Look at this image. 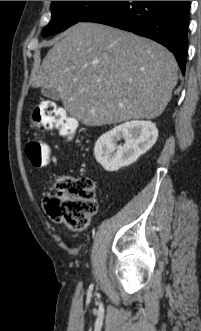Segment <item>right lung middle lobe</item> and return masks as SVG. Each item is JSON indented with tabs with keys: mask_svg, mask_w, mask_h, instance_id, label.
I'll return each instance as SVG.
<instances>
[{
	"mask_svg": "<svg viewBox=\"0 0 201 331\" xmlns=\"http://www.w3.org/2000/svg\"><path fill=\"white\" fill-rule=\"evenodd\" d=\"M107 1H52V16L45 27L44 37L59 33L69 26L80 22L96 8Z\"/></svg>",
	"mask_w": 201,
	"mask_h": 331,
	"instance_id": "obj_1",
	"label": "right lung middle lobe"
}]
</instances>
